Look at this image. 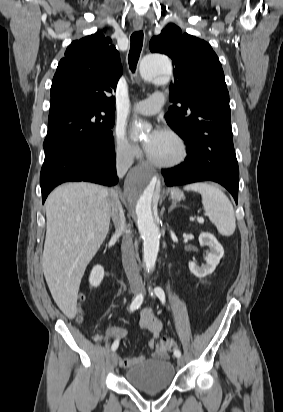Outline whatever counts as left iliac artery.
<instances>
[{
  "label": "left iliac artery",
  "instance_id": "obj_1",
  "mask_svg": "<svg viewBox=\"0 0 283 412\" xmlns=\"http://www.w3.org/2000/svg\"><path fill=\"white\" fill-rule=\"evenodd\" d=\"M153 293L159 298V300L161 301V303L164 305L165 304V293L163 291V289L161 287H155L153 291H151V295H153ZM174 355L176 357H180L181 356V352L179 349H176L174 351Z\"/></svg>",
  "mask_w": 283,
  "mask_h": 412
}]
</instances>
